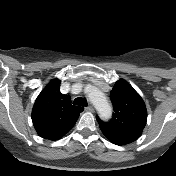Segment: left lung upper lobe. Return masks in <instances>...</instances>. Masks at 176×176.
<instances>
[{
  "instance_id": "5c2ea615",
  "label": "left lung upper lobe",
  "mask_w": 176,
  "mask_h": 176,
  "mask_svg": "<svg viewBox=\"0 0 176 176\" xmlns=\"http://www.w3.org/2000/svg\"><path fill=\"white\" fill-rule=\"evenodd\" d=\"M110 98L114 108L112 119L104 123L97 117L103 134L116 145H125L137 140L147 122L144 101L125 80L115 83Z\"/></svg>"
}]
</instances>
